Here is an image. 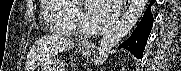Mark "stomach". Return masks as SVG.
<instances>
[{"label":"stomach","instance_id":"1","mask_svg":"<svg viewBox=\"0 0 181 71\" xmlns=\"http://www.w3.org/2000/svg\"><path fill=\"white\" fill-rule=\"evenodd\" d=\"M80 52L82 55L84 56H88L91 54V50L90 49H80ZM37 71H64V68L62 66H60L59 64L50 62V63H46L42 66H40L39 70Z\"/></svg>","mask_w":181,"mask_h":71}]
</instances>
